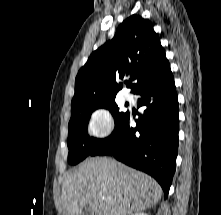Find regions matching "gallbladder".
I'll use <instances>...</instances> for the list:
<instances>
[{
  "instance_id": "obj_1",
  "label": "gallbladder",
  "mask_w": 221,
  "mask_h": 215,
  "mask_svg": "<svg viewBox=\"0 0 221 215\" xmlns=\"http://www.w3.org/2000/svg\"><path fill=\"white\" fill-rule=\"evenodd\" d=\"M80 215H93V213L88 208H85Z\"/></svg>"
}]
</instances>
